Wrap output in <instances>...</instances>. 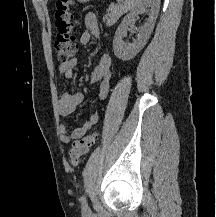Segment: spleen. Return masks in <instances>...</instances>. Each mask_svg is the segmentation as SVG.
Here are the masks:
<instances>
[{"label":"spleen","mask_w":216,"mask_h":217,"mask_svg":"<svg viewBox=\"0 0 216 217\" xmlns=\"http://www.w3.org/2000/svg\"><path fill=\"white\" fill-rule=\"evenodd\" d=\"M141 0H124V5L127 9H133L135 8Z\"/></svg>","instance_id":"spleen-1"}]
</instances>
